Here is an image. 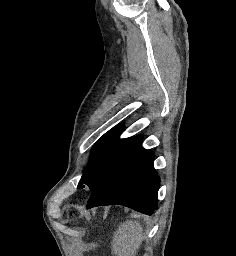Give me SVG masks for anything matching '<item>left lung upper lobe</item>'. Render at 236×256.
<instances>
[{
  "mask_svg": "<svg viewBox=\"0 0 236 256\" xmlns=\"http://www.w3.org/2000/svg\"><path fill=\"white\" fill-rule=\"evenodd\" d=\"M122 126L104 134L94 145L91 161L84 171L78 188L85 184L93 191L112 171L133 138L119 139ZM85 187L84 185L81 188Z\"/></svg>",
  "mask_w": 236,
  "mask_h": 256,
  "instance_id": "left-lung-upper-lobe-1",
  "label": "left lung upper lobe"
}]
</instances>
